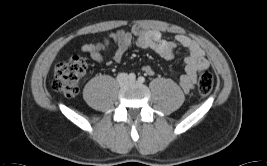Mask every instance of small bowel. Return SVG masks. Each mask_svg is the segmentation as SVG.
<instances>
[{
  "label": "small bowel",
  "mask_w": 267,
  "mask_h": 166,
  "mask_svg": "<svg viewBox=\"0 0 267 166\" xmlns=\"http://www.w3.org/2000/svg\"><path fill=\"white\" fill-rule=\"evenodd\" d=\"M111 44L115 46L113 54L115 62L121 61L126 51L133 45L152 51L165 60L173 58L176 44L183 46L188 50V56L185 58V73L180 77L179 83L185 92L193 89L198 71L208 66L204 51L197 42L188 36L178 34L174 41H169L163 39L159 31L139 25L133 26L130 32L119 30L110 34L101 42L84 44L81 51L94 62L101 63L104 60L103 51ZM143 70L149 75L154 73L149 65L143 66Z\"/></svg>",
  "instance_id": "small-bowel-1"
}]
</instances>
